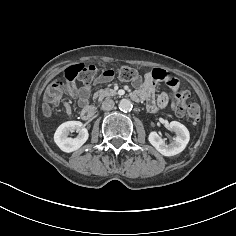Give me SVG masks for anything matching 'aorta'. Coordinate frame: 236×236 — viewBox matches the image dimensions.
I'll return each mask as SVG.
<instances>
[{
	"label": "aorta",
	"instance_id": "1",
	"mask_svg": "<svg viewBox=\"0 0 236 236\" xmlns=\"http://www.w3.org/2000/svg\"><path fill=\"white\" fill-rule=\"evenodd\" d=\"M132 103L129 99H122L120 102H119V109L123 112H128V111H131L132 109Z\"/></svg>",
	"mask_w": 236,
	"mask_h": 236
}]
</instances>
